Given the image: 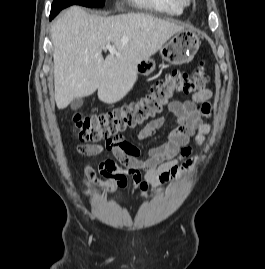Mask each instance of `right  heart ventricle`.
Wrapping results in <instances>:
<instances>
[{
	"mask_svg": "<svg viewBox=\"0 0 265 269\" xmlns=\"http://www.w3.org/2000/svg\"><path fill=\"white\" fill-rule=\"evenodd\" d=\"M139 9L169 15H180L183 7L177 0H129Z\"/></svg>",
	"mask_w": 265,
	"mask_h": 269,
	"instance_id": "right-heart-ventricle-1",
	"label": "right heart ventricle"
}]
</instances>
